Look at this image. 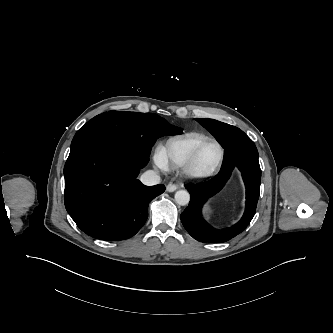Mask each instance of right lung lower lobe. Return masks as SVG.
Returning a JSON list of instances; mask_svg holds the SVG:
<instances>
[{
  "label": "right lung lower lobe",
  "instance_id": "obj_1",
  "mask_svg": "<svg viewBox=\"0 0 333 333\" xmlns=\"http://www.w3.org/2000/svg\"><path fill=\"white\" fill-rule=\"evenodd\" d=\"M149 158L111 139L88 136L71 144L64 167L65 207L89 236L118 241L145 224L149 202L164 185L145 186L137 176Z\"/></svg>",
  "mask_w": 333,
  "mask_h": 333
}]
</instances>
